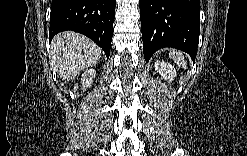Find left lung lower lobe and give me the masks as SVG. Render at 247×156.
Here are the masks:
<instances>
[{"label":"left lung lower lobe","instance_id":"1","mask_svg":"<svg viewBox=\"0 0 247 156\" xmlns=\"http://www.w3.org/2000/svg\"><path fill=\"white\" fill-rule=\"evenodd\" d=\"M146 62L159 49L172 47L195 59L200 33L199 0H139Z\"/></svg>","mask_w":247,"mask_h":156}]
</instances>
